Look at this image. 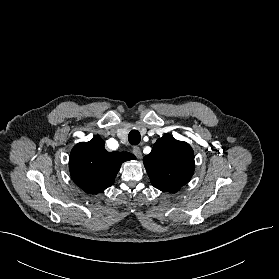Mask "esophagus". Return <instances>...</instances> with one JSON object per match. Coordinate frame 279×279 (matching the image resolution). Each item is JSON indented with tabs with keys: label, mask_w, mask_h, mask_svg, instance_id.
Masks as SVG:
<instances>
[{
	"label": "esophagus",
	"mask_w": 279,
	"mask_h": 279,
	"mask_svg": "<svg viewBox=\"0 0 279 279\" xmlns=\"http://www.w3.org/2000/svg\"><path fill=\"white\" fill-rule=\"evenodd\" d=\"M133 153L134 155L138 158V159H141L142 158V151L139 147L135 146L133 148Z\"/></svg>",
	"instance_id": "34e87169"
}]
</instances>
